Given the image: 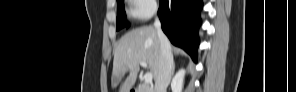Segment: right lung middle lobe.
<instances>
[{"label":"right lung middle lobe","mask_w":296,"mask_h":92,"mask_svg":"<svg viewBox=\"0 0 296 92\" xmlns=\"http://www.w3.org/2000/svg\"><path fill=\"white\" fill-rule=\"evenodd\" d=\"M124 27H129V23L126 19L124 0L117 2V20H116V30H120Z\"/></svg>","instance_id":"dd1d6c3e"}]
</instances>
